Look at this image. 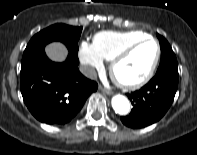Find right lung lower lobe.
<instances>
[{
  "mask_svg": "<svg viewBox=\"0 0 197 155\" xmlns=\"http://www.w3.org/2000/svg\"><path fill=\"white\" fill-rule=\"evenodd\" d=\"M78 63L77 54L69 52L65 62L56 63L43 51L21 65L23 100L37 120L51 125L66 124L97 90V83L79 72Z\"/></svg>",
  "mask_w": 197,
  "mask_h": 155,
  "instance_id": "obj_1",
  "label": "right lung lower lobe"
}]
</instances>
